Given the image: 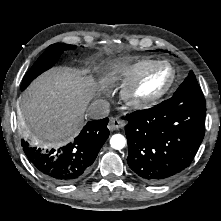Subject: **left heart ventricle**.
Listing matches in <instances>:
<instances>
[{"instance_id": "b2bd125f", "label": "left heart ventricle", "mask_w": 221, "mask_h": 221, "mask_svg": "<svg viewBox=\"0 0 221 221\" xmlns=\"http://www.w3.org/2000/svg\"><path fill=\"white\" fill-rule=\"evenodd\" d=\"M167 75L163 70L156 71L153 75H151L145 84L141 88V93H149L164 84L166 81Z\"/></svg>"}]
</instances>
